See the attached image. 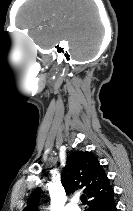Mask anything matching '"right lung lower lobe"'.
<instances>
[{"mask_svg":"<svg viewBox=\"0 0 133 211\" xmlns=\"http://www.w3.org/2000/svg\"><path fill=\"white\" fill-rule=\"evenodd\" d=\"M90 211H116L114 199L108 203H102L93 207Z\"/></svg>","mask_w":133,"mask_h":211,"instance_id":"obj_1","label":"right lung lower lobe"}]
</instances>
